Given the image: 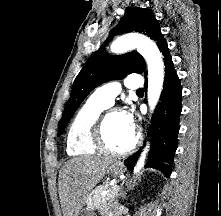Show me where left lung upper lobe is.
<instances>
[{
    "label": "left lung upper lobe",
    "mask_w": 221,
    "mask_h": 216,
    "mask_svg": "<svg viewBox=\"0 0 221 216\" xmlns=\"http://www.w3.org/2000/svg\"><path fill=\"white\" fill-rule=\"evenodd\" d=\"M132 31L149 36L156 41L158 48L166 42L158 20L152 11L146 8H128L121 23L110 31L108 41L116 34ZM144 72V58L136 51L120 56H108L103 48L94 52L74 80L71 96L58 125V136L62 134L74 112L94 88L109 80L122 79L130 73Z\"/></svg>",
    "instance_id": "left-lung-upper-lobe-1"
}]
</instances>
